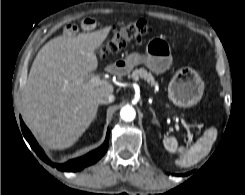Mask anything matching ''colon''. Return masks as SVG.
Returning <instances> with one entry per match:
<instances>
[{"mask_svg":"<svg viewBox=\"0 0 245 195\" xmlns=\"http://www.w3.org/2000/svg\"><path fill=\"white\" fill-rule=\"evenodd\" d=\"M151 31L149 23L135 19L114 28L113 34L101 50L102 55H112L121 51L129 42H140L142 37Z\"/></svg>","mask_w":245,"mask_h":195,"instance_id":"5ec220e1","label":"colon"}]
</instances>
